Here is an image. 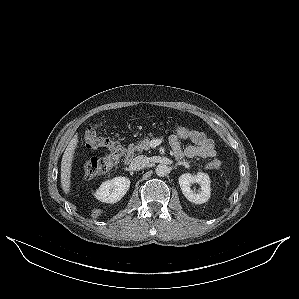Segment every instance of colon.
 Listing matches in <instances>:
<instances>
[{"mask_svg": "<svg viewBox=\"0 0 299 299\" xmlns=\"http://www.w3.org/2000/svg\"><path fill=\"white\" fill-rule=\"evenodd\" d=\"M200 131L177 125L173 128V135L181 140H193ZM86 146L93 150L105 149L108 154L104 157H91L84 164V173L87 178H94L107 174L114 168L124 154L123 146L113 139L104 137L99 132V125L89 126L83 135ZM214 167L219 166L218 162H213Z\"/></svg>", "mask_w": 299, "mask_h": 299, "instance_id": "5ec220e1", "label": "colon"}]
</instances>
